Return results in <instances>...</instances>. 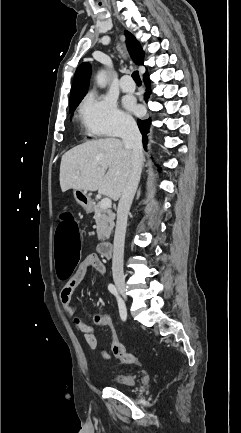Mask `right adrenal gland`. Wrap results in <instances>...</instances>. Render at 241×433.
<instances>
[{"label": "right adrenal gland", "mask_w": 241, "mask_h": 433, "mask_svg": "<svg viewBox=\"0 0 241 433\" xmlns=\"http://www.w3.org/2000/svg\"><path fill=\"white\" fill-rule=\"evenodd\" d=\"M140 195H141V189H139L137 192V199L140 197Z\"/></svg>", "instance_id": "2a0ac1e0"}]
</instances>
